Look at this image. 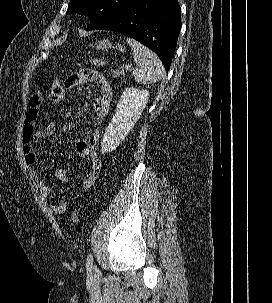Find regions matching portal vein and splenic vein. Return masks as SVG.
<instances>
[{"label":"portal vein and splenic vein","mask_w":272,"mask_h":303,"mask_svg":"<svg viewBox=\"0 0 272 303\" xmlns=\"http://www.w3.org/2000/svg\"><path fill=\"white\" fill-rule=\"evenodd\" d=\"M125 69H126L127 71H131V70H132L131 66H129V65H126V66H125Z\"/></svg>","instance_id":"18ae733b"}]
</instances>
